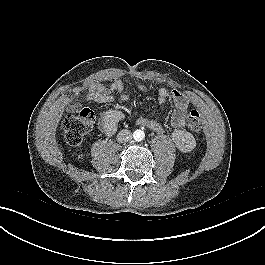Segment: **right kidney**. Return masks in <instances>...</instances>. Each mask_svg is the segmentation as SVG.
Listing matches in <instances>:
<instances>
[{
    "label": "right kidney",
    "instance_id": "1",
    "mask_svg": "<svg viewBox=\"0 0 265 265\" xmlns=\"http://www.w3.org/2000/svg\"><path fill=\"white\" fill-rule=\"evenodd\" d=\"M83 157H84V154H83V153H80V154L78 155V159H83Z\"/></svg>",
    "mask_w": 265,
    "mask_h": 265
}]
</instances>
